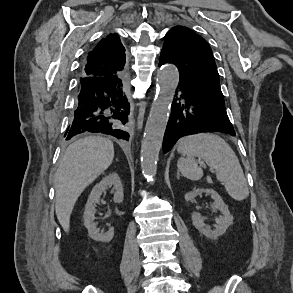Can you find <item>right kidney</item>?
<instances>
[{"label":"right kidney","instance_id":"1","mask_svg":"<svg viewBox=\"0 0 293 293\" xmlns=\"http://www.w3.org/2000/svg\"><path fill=\"white\" fill-rule=\"evenodd\" d=\"M111 187H113L114 191V202L122 203L124 198L123 186L119 176L115 173L109 174L93 187L86 203L83 216L84 226L87 228L89 236L95 241L109 242L114 236L113 228H110L109 231L102 233L96 228V224L94 223L96 204L99 203L102 193L106 192V190Z\"/></svg>","mask_w":293,"mask_h":293}]
</instances>
